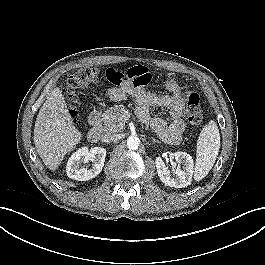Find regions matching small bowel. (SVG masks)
<instances>
[{"mask_svg":"<svg viewBox=\"0 0 265 265\" xmlns=\"http://www.w3.org/2000/svg\"><path fill=\"white\" fill-rule=\"evenodd\" d=\"M145 84L138 85L133 81H126L119 87L108 90L107 96L113 101H122L131 95L136 99L137 115L139 119L151 127L160 139L169 144L180 142L185 130V121L183 119V107L185 94L180 88L178 82L174 79H168L164 82V89L167 94H155L147 92L144 86L150 81V75L147 68L136 66L131 68ZM151 107L166 108L169 110L171 121L161 117H151L149 110Z\"/></svg>","mask_w":265,"mask_h":265,"instance_id":"small-bowel-1","label":"small bowel"}]
</instances>
